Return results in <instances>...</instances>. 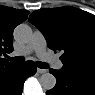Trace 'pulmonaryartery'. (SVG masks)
Masks as SVG:
<instances>
[{"label": "pulmonary artery", "mask_w": 95, "mask_h": 95, "mask_svg": "<svg viewBox=\"0 0 95 95\" xmlns=\"http://www.w3.org/2000/svg\"><path fill=\"white\" fill-rule=\"evenodd\" d=\"M35 51L37 56L48 61L54 68L61 69L63 64L56 57H53L50 53L46 51V40L42 32L36 30L29 43L23 48L21 52H14V55H28Z\"/></svg>", "instance_id": "pulmonary-artery-1"}]
</instances>
